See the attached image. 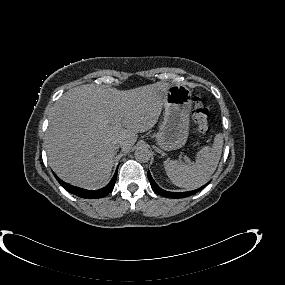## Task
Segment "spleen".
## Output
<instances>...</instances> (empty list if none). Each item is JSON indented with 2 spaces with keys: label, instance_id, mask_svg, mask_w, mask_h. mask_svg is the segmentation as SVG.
<instances>
[{
  "label": "spleen",
  "instance_id": "3e777b00",
  "mask_svg": "<svg viewBox=\"0 0 285 285\" xmlns=\"http://www.w3.org/2000/svg\"><path fill=\"white\" fill-rule=\"evenodd\" d=\"M223 136L217 134L212 146L203 147L196 155L195 162L183 163L165 160L164 168L172 183L181 188H197L207 183L215 172L221 158Z\"/></svg>",
  "mask_w": 285,
  "mask_h": 285
}]
</instances>
